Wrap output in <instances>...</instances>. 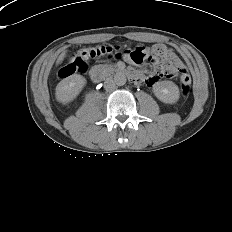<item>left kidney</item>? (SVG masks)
<instances>
[{"mask_svg": "<svg viewBox=\"0 0 232 232\" xmlns=\"http://www.w3.org/2000/svg\"><path fill=\"white\" fill-rule=\"evenodd\" d=\"M153 93L164 103L173 104L178 101L180 93L178 86L172 81H160L153 85Z\"/></svg>", "mask_w": 232, "mask_h": 232, "instance_id": "1", "label": "left kidney"}]
</instances>
